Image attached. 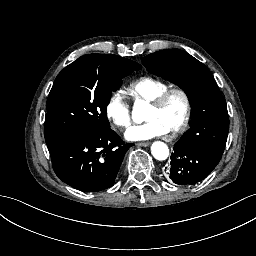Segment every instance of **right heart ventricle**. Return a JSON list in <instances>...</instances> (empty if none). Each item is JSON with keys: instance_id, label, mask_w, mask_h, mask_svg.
<instances>
[{"instance_id": "e07e8e85", "label": "right heart ventricle", "mask_w": 256, "mask_h": 256, "mask_svg": "<svg viewBox=\"0 0 256 256\" xmlns=\"http://www.w3.org/2000/svg\"><path fill=\"white\" fill-rule=\"evenodd\" d=\"M166 92L167 89L157 82L149 79L141 81L137 88L136 109L139 112L145 111L148 106Z\"/></svg>"}]
</instances>
